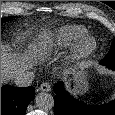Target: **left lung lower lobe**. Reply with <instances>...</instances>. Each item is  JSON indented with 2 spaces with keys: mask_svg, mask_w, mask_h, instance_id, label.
I'll return each mask as SVG.
<instances>
[{
  "mask_svg": "<svg viewBox=\"0 0 115 115\" xmlns=\"http://www.w3.org/2000/svg\"><path fill=\"white\" fill-rule=\"evenodd\" d=\"M115 70V63L102 64ZM55 115H115V101L102 106L86 105L69 95L62 82L54 85Z\"/></svg>",
  "mask_w": 115,
  "mask_h": 115,
  "instance_id": "1",
  "label": "left lung lower lobe"
}]
</instances>
